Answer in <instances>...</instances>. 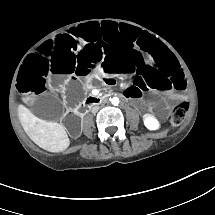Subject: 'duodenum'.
<instances>
[{
  "label": "duodenum",
  "mask_w": 215,
  "mask_h": 215,
  "mask_svg": "<svg viewBox=\"0 0 215 215\" xmlns=\"http://www.w3.org/2000/svg\"><path fill=\"white\" fill-rule=\"evenodd\" d=\"M106 95H97V96H90L86 99L85 105L90 106V105H100L105 101Z\"/></svg>",
  "instance_id": "410a0bca"
}]
</instances>
